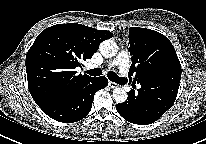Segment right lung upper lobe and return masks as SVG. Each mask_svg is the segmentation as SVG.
Instances as JSON below:
<instances>
[{
  "label": "right lung upper lobe",
  "instance_id": "right-lung-upper-lobe-1",
  "mask_svg": "<svg viewBox=\"0 0 206 144\" xmlns=\"http://www.w3.org/2000/svg\"><path fill=\"white\" fill-rule=\"evenodd\" d=\"M113 36L81 24H57L43 30L26 55L30 93L41 106L59 95L78 89L92 77L76 74L81 61L91 59L99 44Z\"/></svg>",
  "mask_w": 206,
  "mask_h": 144
}]
</instances>
